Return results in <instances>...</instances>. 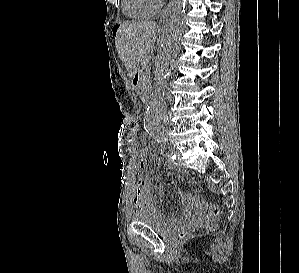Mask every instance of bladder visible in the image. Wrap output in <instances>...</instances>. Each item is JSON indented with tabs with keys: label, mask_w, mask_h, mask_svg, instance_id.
Masks as SVG:
<instances>
[{
	"label": "bladder",
	"mask_w": 299,
	"mask_h": 273,
	"mask_svg": "<svg viewBox=\"0 0 299 273\" xmlns=\"http://www.w3.org/2000/svg\"><path fill=\"white\" fill-rule=\"evenodd\" d=\"M135 223L150 226L158 231H164L167 228V221L157 211L153 209H144L136 212L134 216Z\"/></svg>",
	"instance_id": "bladder-1"
}]
</instances>
